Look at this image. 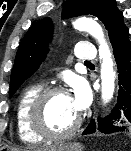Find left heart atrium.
<instances>
[{
  "instance_id": "left-heart-atrium-1",
  "label": "left heart atrium",
  "mask_w": 131,
  "mask_h": 151,
  "mask_svg": "<svg viewBox=\"0 0 131 151\" xmlns=\"http://www.w3.org/2000/svg\"><path fill=\"white\" fill-rule=\"evenodd\" d=\"M75 111L79 114L88 104L89 92L84 84H77L74 87L73 95L70 96Z\"/></svg>"
}]
</instances>
